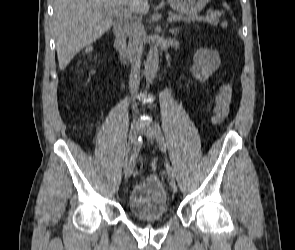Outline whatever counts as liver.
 Masks as SVG:
<instances>
[{"label": "liver", "mask_w": 295, "mask_h": 250, "mask_svg": "<svg viewBox=\"0 0 295 250\" xmlns=\"http://www.w3.org/2000/svg\"><path fill=\"white\" fill-rule=\"evenodd\" d=\"M149 0H55L53 25L60 70L86 46L110 30V8L128 6L130 11L145 14Z\"/></svg>", "instance_id": "liver-1"}]
</instances>
